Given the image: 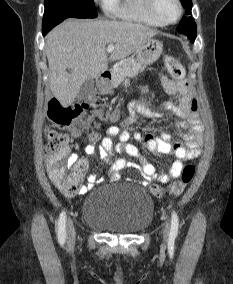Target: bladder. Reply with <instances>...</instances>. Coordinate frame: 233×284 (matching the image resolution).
<instances>
[{"instance_id":"bladder-1","label":"bladder","mask_w":233,"mask_h":284,"mask_svg":"<svg viewBox=\"0 0 233 284\" xmlns=\"http://www.w3.org/2000/svg\"><path fill=\"white\" fill-rule=\"evenodd\" d=\"M154 217L148 192L135 185L100 188L87 195L83 221L103 232L137 234L146 230Z\"/></svg>"}]
</instances>
